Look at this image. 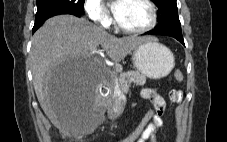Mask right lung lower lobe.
<instances>
[{"mask_svg": "<svg viewBox=\"0 0 227 142\" xmlns=\"http://www.w3.org/2000/svg\"><path fill=\"white\" fill-rule=\"evenodd\" d=\"M58 14H71V15H75L77 17H80L82 15V14H77V13L65 12V13H56V14L38 17V18L35 19V24H34V27L32 29V33H34L48 18L55 16V15H58Z\"/></svg>", "mask_w": 227, "mask_h": 142, "instance_id": "1", "label": "right lung lower lobe"}]
</instances>
